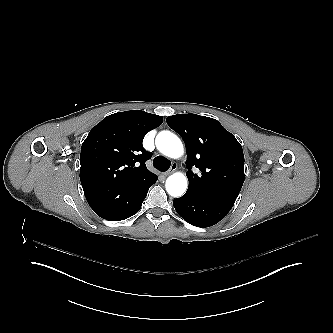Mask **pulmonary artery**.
<instances>
[{
	"label": "pulmonary artery",
	"mask_w": 333,
	"mask_h": 333,
	"mask_svg": "<svg viewBox=\"0 0 333 333\" xmlns=\"http://www.w3.org/2000/svg\"><path fill=\"white\" fill-rule=\"evenodd\" d=\"M185 172L186 173H191L192 172V167L191 166H186L185 167Z\"/></svg>",
	"instance_id": "e3ab8cb5"
}]
</instances>
